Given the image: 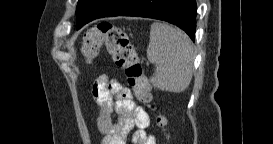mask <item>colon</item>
<instances>
[{
	"mask_svg": "<svg viewBox=\"0 0 273 144\" xmlns=\"http://www.w3.org/2000/svg\"><path fill=\"white\" fill-rule=\"evenodd\" d=\"M105 44L117 67L125 73L129 86L141 103L150 105L151 87L135 48L123 29L109 21H101L84 35L82 53L87 60L96 58L99 48ZM156 124L165 130L166 119L159 115Z\"/></svg>",
	"mask_w": 273,
	"mask_h": 144,
	"instance_id": "5ec220e1",
	"label": "colon"
}]
</instances>
